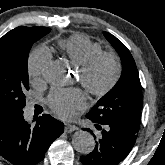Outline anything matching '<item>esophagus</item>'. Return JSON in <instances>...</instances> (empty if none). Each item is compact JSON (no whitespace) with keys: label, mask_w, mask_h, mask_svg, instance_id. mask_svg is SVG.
Listing matches in <instances>:
<instances>
[{"label":"esophagus","mask_w":165,"mask_h":165,"mask_svg":"<svg viewBox=\"0 0 165 165\" xmlns=\"http://www.w3.org/2000/svg\"><path fill=\"white\" fill-rule=\"evenodd\" d=\"M77 130V127L72 124H65V132L71 133L73 131Z\"/></svg>","instance_id":"obj_1"}]
</instances>
